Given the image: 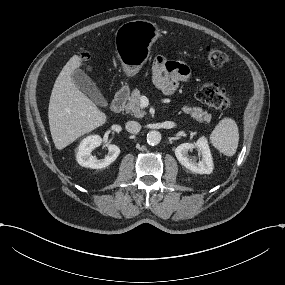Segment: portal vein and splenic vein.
<instances>
[{"instance_id": "portal-vein-and-splenic-vein-1", "label": "portal vein and splenic vein", "mask_w": 285, "mask_h": 285, "mask_svg": "<svg viewBox=\"0 0 285 285\" xmlns=\"http://www.w3.org/2000/svg\"><path fill=\"white\" fill-rule=\"evenodd\" d=\"M149 105V100L146 96H142L140 98V106L141 107H147Z\"/></svg>"}]
</instances>
